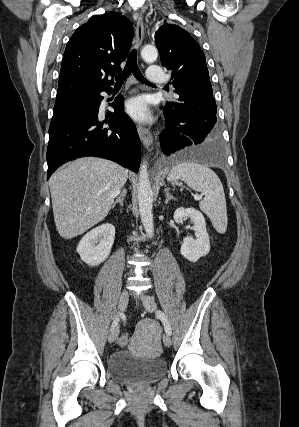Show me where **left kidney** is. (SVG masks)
Returning <instances> with one entry per match:
<instances>
[{
  "mask_svg": "<svg viewBox=\"0 0 299 427\" xmlns=\"http://www.w3.org/2000/svg\"><path fill=\"white\" fill-rule=\"evenodd\" d=\"M184 218H190L194 223V238L186 237L183 240L180 253L191 262H197L210 251V240L206 230V222L203 214L194 208L180 207L174 212L176 223H182Z\"/></svg>",
  "mask_w": 299,
  "mask_h": 427,
  "instance_id": "obj_1",
  "label": "left kidney"
}]
</instances>
